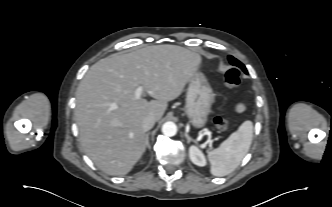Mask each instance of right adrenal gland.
Here are the masks:
<instances>
[{
    "label": "right adrenal gland",
    "mask_w": 332,
    "mask_h": 207,
    "mask_svg": "<svg viewBox=\"0 0 332 207\" xmlns=\"http://www.w3.org/2000/svg\"><path fill=\"white\" fill-rule=\"evenodd\" d=\"M149 135H150V133L146 134V146H147L148 149H150Z\"/></svg>",
    "instance_id": "2a0ac1e0"
}]
</instances>
